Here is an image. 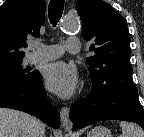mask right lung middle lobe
I'll return each instance as SVG.
<instances>
[{
    "instance_id": "obj_1",
    "label": "right lung middle lobe",
    "mask_w": 144,
    "mask_h": 137,
    "mask_svg": "<svg viewBox=\"0 0 144 137\" xmlns=\"http://www.w3.org/2000/svg\"><path fill=\"white\" fill-rule=\"evenodd\" d=\"M21 63L22 60H18L0 67V85L16 84L27 86L39 78L40 73L37 70L23 68Z\"/></svg>"
}]
</instances>
